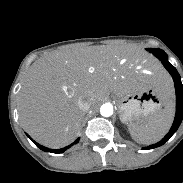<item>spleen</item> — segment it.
I'll return each instance as SVG.
<instances>
[{
  "mask_svg": "<svg viewBox=\"0 0 183 183\" xmlns=\"http://www.w3.org/2000/svg\"><path fill=\"white\" fill-rule=\"evenodd\" d=\"M174 118V104L167 102L164 109L149 115L145 119L128 125L132 138L140 144H152L160 141L169 131Z\"/></svg>",
  "mask_w": 183,
  "mask_h": 183,
  "instance_id": "obj_1",
  "label": "spleen"
}]
</instances>
